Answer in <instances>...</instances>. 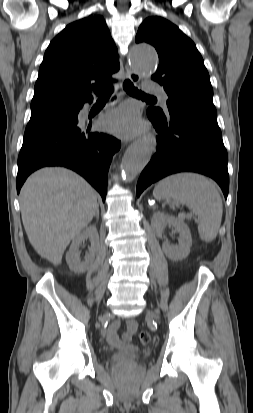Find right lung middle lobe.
<instances>
[{"label":"right lung middle lobe","instance_id":"obj_1","mask_svg":"<svg viewBox=\"0 0 253 413\" xmlns=\"http://www.w3.org/2000/svg\"><path fill=\"white\" fill-rule=\"evenodd\" d=\"M79 108L54 110L31 114L24 139H31L48 132L70 128L78 124Z\"/></svg>","mask_w":253,"mask_h":413}]
</instances>
